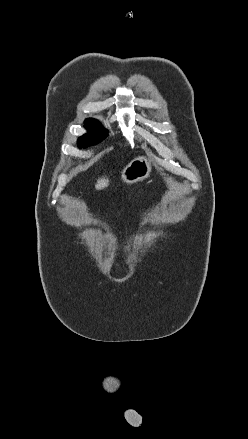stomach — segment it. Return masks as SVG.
<instances>
[{
	"label": "stomach",
	"mask_w": 248,
	"mask_h": 439,
	"mask_svg": "<svg viewBox=\"0 0 248 439\" xmlns=\"http://www.w3.org/2000/svg\"><path fill=\"white\" fill-rule=\"evenodd\" d=\"M152 171L151 161L144 155L134 158L122 171V181L128 185L147 179Z\"/></svg>",
	"instance_id": "0dacf381"
}]
</instances>
